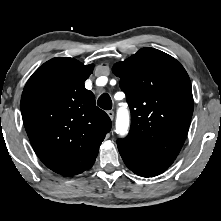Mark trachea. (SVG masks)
<instances>
[{
	"mask_svg": "<svg viewBox=\"0 0 221 221\" xmlns=\"http://www.w3.org/2000/svg\"><path fill=\"white\" fill-rule=\"evenodd\" d=\"M97 105L104 110H111L112 100L108 94L104 93L98 98Z\"/></svg>",
	"mask_w": 221,
	"mask_h": 221,
	"instance_id": "1",
	"label": "trachea"
}]
</instances>
